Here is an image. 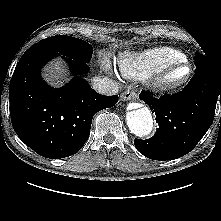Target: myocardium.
Instances as JSON below:
<instances>
[{"instance_id": "obj_1", "label": "myocardium", "mask_w": 221, "mask_h": 221, "mask_svg": "<svg viewBox=\"0 0 221 221\" xmlns=\"http://www.w3.org/2000/svg\"><path fill=\"white\" fill-rule=\"evenodd\" d=\"M182 67H186L188 69L187 75L182 79L172 80L170 78L171 75ZM192 75L193 69L188 62L183 61L180 63H176L164 68L157 74V76L153 80V87L159 93L172 92L185 86L190 81Z\"/></svg>"}]
</instances>
